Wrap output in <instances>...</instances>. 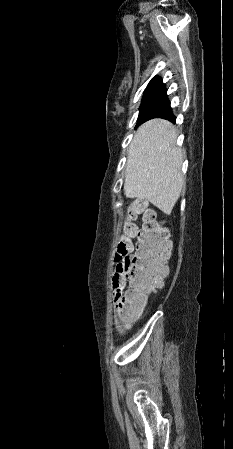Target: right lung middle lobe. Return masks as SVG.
<instances>
[{
	"instance_id": "obj_1",
	"label": "right lung middle lobe",
	"mask_w": 233,
	"mask_h": 449,
	"mask_svg": "<svg viewBox=\"0 0 233 449\" xmlns=\"http://www.w3.org/2000/svg\"><path fill=\"white\" fill-rule=\"evenodd\" d=\"M169 108L170 103L165 91L145 93L140 106L137 126Z\"/></svg>"
}]
</instances>
